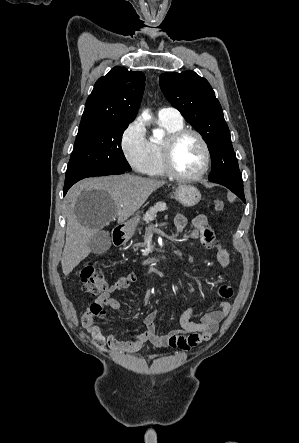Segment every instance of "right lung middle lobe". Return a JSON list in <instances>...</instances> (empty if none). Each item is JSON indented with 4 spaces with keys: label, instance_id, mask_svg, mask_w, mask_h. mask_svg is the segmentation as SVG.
<instances>
[{
    "label": "right lung middle lobe",
    "instance_id": "1",
    "mask_svg": "<svg viewBox=\"0 0 299 443\" xmlns=\"http://www.w3.org/2000/svg\"><path fill=\"white\" fill-rule=\"evenodd\" d=\"M128 123H108L78 131L65 185H73L81 179L108 171H130L131 167L121 149V138Z\"/></svg>",
    "mask_w": 299,
    "mask_h": 443
}]
</instances>
